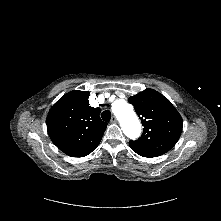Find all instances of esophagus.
Listing matches in <instances>:
<instances>
[{"instance_id":"1","label":"esophagus","mask_w":221,"mask_h":221,"mask_svg":"<svg viewBox=\"0 0 221 221\" xmlns=\"http://www.w3.org/2000/svg\"><path fill=\"white\" fill-rule=\"evenodd\" d=\"M111 123H117V118H116L115 116H113V117L111 118Z\"/></svg>"}]
</instances>
